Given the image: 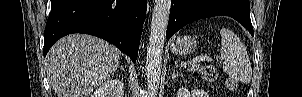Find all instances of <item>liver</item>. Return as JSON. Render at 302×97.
<instances>
[{
	"label": "liver",
	"mask_w": 302,
	"mask_h": 97,
	"mask_svg": "<svg viewBox=\"0 0 302 97\" xmlns=\"http://www.w3.org/2000/svg\"><path fill=\"white\" fill-rule=\"evenodd\" d=\"M121 51L103 39L73 34L57 41L46 56L57 97H88L119 66Z\"/></svg>",
	"instance_id": "1"
}]
</instances>
